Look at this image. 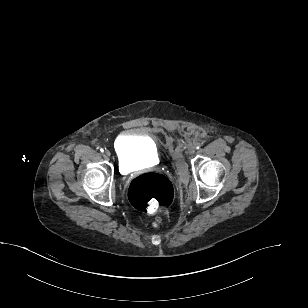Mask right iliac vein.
Returning <instances> with one entry per match:
<instances>
[{
    "label": "right iliac vein",
    "instance_id": "63e3f726",
    "mask_svg": "<svg viewBox=\"0 0 308 308\" xmlns=\"http://www.w3.org/2000/svg\"><path fill=\"white\" fill-rule=\"evenodd\" d=\"M104 154H105L106 156H110V155H111V153H110L109 150H105Z\"/></svg>",
    "mask_w": 308,
    "mask_h": 308
}]
</instances>
